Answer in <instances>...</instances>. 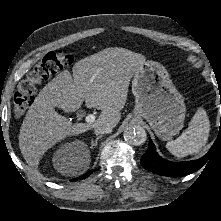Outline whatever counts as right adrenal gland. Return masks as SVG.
I'll return each instance as SVG.
<instances>
[{"instance_id":"obj_1","label":"right adrenal gland","mask_w":221,"mask_h":221,"mask_svg":"<svg viewBox=\"0 0 221 221\" xmlns=\"http://www.w3.org/2000/svg\"><path fill=\"white\" fill-rule=\"evenodd\" d=\"M102 135L97 136V138L95 139V141L92 140L91 142V148H93L94 146H97L98 144V140L101 139Z\"/></svg>"}]
</instances>
